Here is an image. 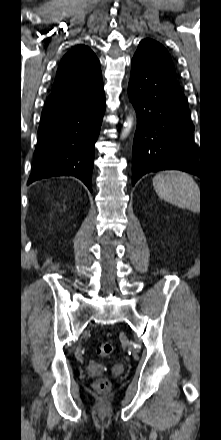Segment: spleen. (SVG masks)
<instances>
[{
    "label": "spleen",
    "instance_id": "spleen-1",
    "mask_svg": "<svg viewBox=\"0 0 221 440\" xmlns=\"http://www.w3.org/2000/svg\"><path fill=\"white\" fill-rule=\"evenodd\" d=\"M157 195L165 201L181 208L197 212L200 190L194 179L182 171H163L153 178Z\"/></svg>",
    "mask_w": 221,
    "mask_h": 440
}]
</instances>
